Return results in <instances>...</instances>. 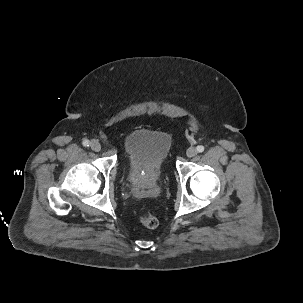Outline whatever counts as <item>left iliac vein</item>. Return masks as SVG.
I'll list each match as a JSON object with an SVG mask.
<instances>
[{
    "instance_id": "1",
    "label": "left iliac vein",
    "mask_w": 303,
    "mask_h": 303,
    "mask_svg": "<svg viewBox=\"0 0 303 303\" xmlns=\"http://www.w3.org/2000/svg\"><path fill=\"white\" fill-rule=\"evenodd\" d=\"M186 154L188 157H194L197 154V150L194 147H190L187 149Z\"/></svg>"
}]
</instances>
